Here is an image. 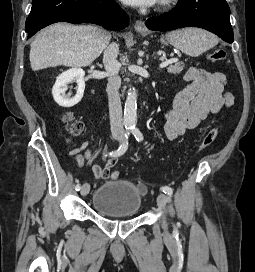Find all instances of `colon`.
<instances>
[{
  "label": "colon",
  "mask_w": 255,
  "mask_h": 272,
  "mask_svg": "<svg viewBox=\"0 0 255 272\" xmlns=\"http://www.w3.org/2000/svg\"><path fill=\"white\" fill-rule=\"evenodd\" d=\"M227 58V54L224 50H216L211 53L210 55V60L212 62H224ZM63 121L67 126V130L71 136H79L80 134L83 133L85 129L84 123L75 118V116L68 112L63 115ZM219 133L218 127H212L211 129L208 130V132L204 135L200 145L197 148V153L204 152L207 150L209 147L213 145L215 142L217 136ZM119 177V172L118 171H113L111 173V178L112 179H117Z\"/></svg>",
  "instance_id": "colon-1"
}]
</instances>
